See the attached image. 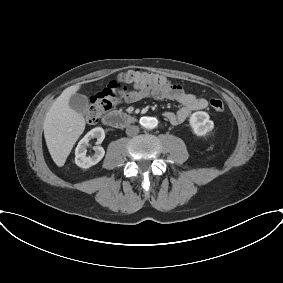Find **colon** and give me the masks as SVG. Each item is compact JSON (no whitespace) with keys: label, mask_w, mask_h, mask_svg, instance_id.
Listing matches in <instances>:
<instances>
[{"label":"colon","mask_w":283,"mask_h":283,"mask_svg":"<svg viewBox=\"0 0 283 283\" xmlns=\"http://www.w3.org/2000/svg\"><path fill=\"white\" fill-rule=\"evenodd\" d=\"M122 84H131L144 92H152L168 85L166 78L160 74L132 69L122 73L117 81L111 82L101 93L95 95L87 111V122L97 123L100 118L112 107V101L122 89ZM210 107L216 112L224 110V103L218 98L209 101Z\"/></svg>","instance_id":"obj_1"}]
</instances>
